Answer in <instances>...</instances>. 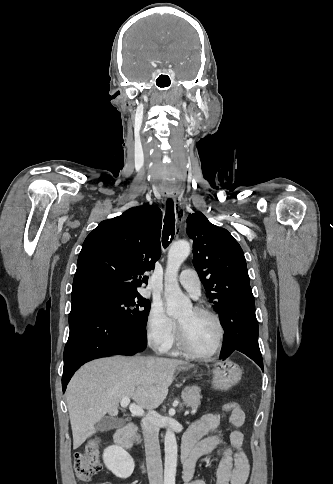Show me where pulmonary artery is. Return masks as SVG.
<instances>
[{"mask_svg": "<svg viewBox=\"0 0 333 484\" xmlns=\"http://www.w3.org/2000/svg\"><path fill=\"white\" fill-rule=\"evenodd\" d=\"M180 284L190 293V295L197 299L201 292V282L196 273L192 269H185L178 277Z\"/></svg>", "mask_w": 333, "mask_h": 484, "instance_id": "1", "label": "pulmonary artery"}]
</instances>
